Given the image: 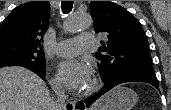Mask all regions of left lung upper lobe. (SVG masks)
<instances>
[{
  "mask_svg": "<svg viewBox=\"0 0 171 110\" xmlns=\"http://www.w3.org/2000/svg\"><path fill=\"white\" fill-rule=\"evenodd\" d=\"M90 13L96 33L107 35L96 53L104 81L127 71L154 72L146 35L135 17L111 1H91Z\"/></svg>",
  "mask_w": 171,
  "mask_h": 110,
  "instance_id": "5c2ea615",
  "label": "left lung upper lobe"
}]
</instances>
